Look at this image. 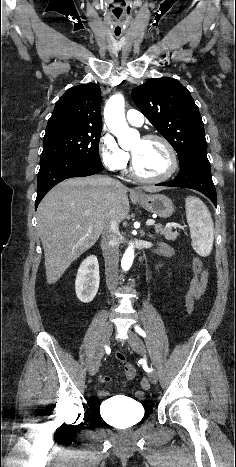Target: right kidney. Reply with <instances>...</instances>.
Wrapping results in <instances>:
<instances>
[{
	"mask_svg": "<svg viewBox=\"0 0 236 467\" xmlns=\"http://www.w3.org/2000/svg\"><path fill=\"white\" fill-rule=\"evenodd\" d=\"M100 283L99 264L95 255L88 256L80 265L75 281V291L83 303L91 302Z\"/></svg>",
	"mask_w": 236,
	"mask_h": 467,
	"instance_id": "obj_1",
	"label": "right kidney"
}]
</instances>
